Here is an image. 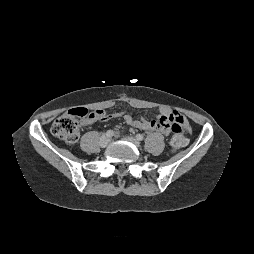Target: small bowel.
Returning a JSON list of instances; mask_svg holds the SVG:
<instances>
[{
  "mask_svg": "<svg viewBox=\"0 0 254 254\" xmlns=\"http://www.w3.org/2000/svg\"><path fill=\"white\" fill-rule=\"evenodd\" d=\"M99 116L87 121L85 124H91L95 121H107L111 118L122 117L125 123L133 128L142 129L145 131H156L164 134L170 132V124L174 117L180 115L179 113L171 110L168 106H161L158 111L157 118L154 120H148L146 118L136 119L125 111H119L116 113H108L104 110H98Z\"/></svg>",
  "mask_w": 254,
  "mask_h": 254,
  "instance_id": "c3829d8e",
  "label": "small bowel"
}]
</instances>
